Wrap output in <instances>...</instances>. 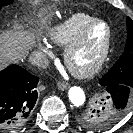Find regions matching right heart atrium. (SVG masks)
<instances>
[{
    "label": "right heart atrium",
    "instance_id": "right-heart-atrium-1",
    "mask_svg": "<svg viewBox=\"0 0 133 133\" xmlns=\"http://www.w3.org/2000/svg\"><path fill=\"white\" fill-rule=\"evenodd\" d=\"M38 47L46 55H50L51 54L50 47H49V45L46 42H40L38 44Z\"/></svg>",
    "mask_w": 133,
    "mask_h": 133
}]
</instances>
